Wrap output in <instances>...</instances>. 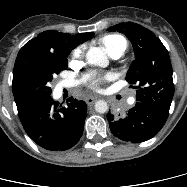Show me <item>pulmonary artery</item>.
<instances>
[{"label":"pulmonary artery","instance_id":"obj_1","mask_svg":"<svg viewBox=\"0 0 187 187\" xmlns=\"http://www.w3.org/2000/svg\"><path fill=\"white\" fill-rule=\"evenodd\" d=\"M113 59H118L120 56H121V54H112V55H110ZM72 85H74V82H63L62 83V86H64V87H69V86H72ZM134 102V98H130L129 99V103H133Z\"/></svg>","mask_w":187,"mask_h":187}]
</instances>
